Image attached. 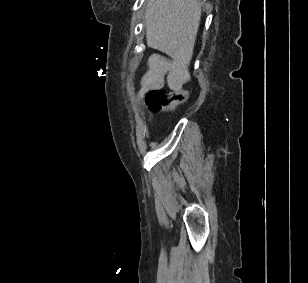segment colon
<instances>
[{
	"label": "colon",
	"mask_w": 308,
	"mask_h": 283,
	"mask_svg": "<svg viewBox=\"0 0 308 283\" xmlns=\"http://www.w3.org/2000/svg\"><path fill=\"white\" fill-rule=\"evenodd\" d=\"M187 90L163 92L151 90L145 97L146 104L153 111H169L185 102L188 98Z\"/></svg>",
	"instance_id": "colon-1"
}]
</instances>
